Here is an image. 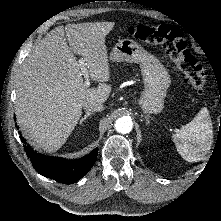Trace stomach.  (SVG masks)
Returning <instances> with one entry per match:
<instances>
[{"label":"stomach","mask_w":221,"mask_h":221,"mask_svg":"<svg viewBox=\"0 0 221 221\" xmlns=\"http://www.w3.org/2000/svg\"><path fill=\"white\" fill-rule=\"evenodd\" d=\"M110 60L140 65L144 90L139 105L146 115L160 113L171 84L170 75L162 63L132 39L120 40L110 53Z\"/></svg>","instance_id":"1"}]
</instances>
